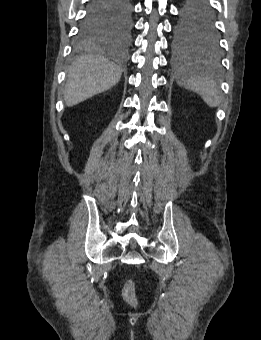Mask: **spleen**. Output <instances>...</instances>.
Here are the masks:
<instances>
[{"instance_id":"obj_1","label":"spleen","mask_w":261,"mask_h":340,"mask_svg":"<svg viewBox=\"0 0 261 340\" xmlns=\"http://www.w3.org/2000/svg\"><path fill=\"white\" fill-rule=\"evenodd\" d=\"M178 83L187 90L199 94L211 108L217 107L221 103V95L217 84L197 66L190 65L182 69Z\"/></svg>"}]
</instances>
